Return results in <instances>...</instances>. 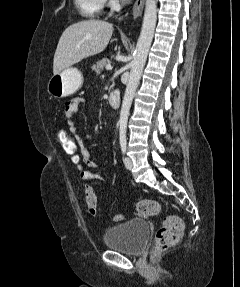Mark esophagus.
<instances>
[{
  "label": "esophagus",
  "instance_id": "esophagus-1",
  "mask_svg": "<svg viewBox=\"0 0 240 287\" xmlns=\"http://www.w3.org/2000/svg\"><path fill=\"white\" fill-rule=\"evenodd\" d=\"M145 0H136L132 9V17L133 19H137L142 15L143 7Z\"/></svg>",
  "mask_w": 240,
  "mask_h": 287
}]
</instances>
